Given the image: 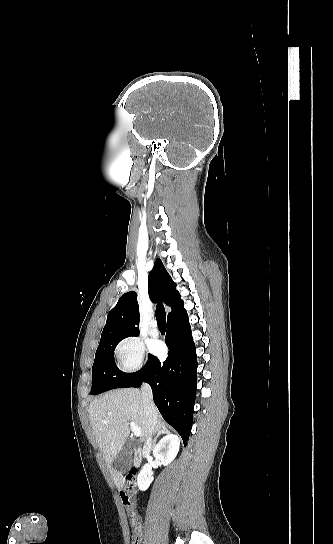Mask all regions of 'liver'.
I'll return each mask as SVG.
<instances>
[{"instance_id":"liver-1","label":"liver","mask_w":333,"mask_h":544,"mask_svg":"<svg viewBox=\"0 0 333 544\" xmlns=\"http://www.w3.org/2000/svg\"><path fill=\"white\" fill-rule=\"evenodd\" d=\"M91 427L97 444L110 469L118 490L123 488V472L113 468L112 463L130 434L129 422L141 429V442H146L150 432L146 423L141 392L135 388L109 391L93 400L88 408ZM164 424L157 415L152 433H159Z\"/></svg>"}]
</instances>
